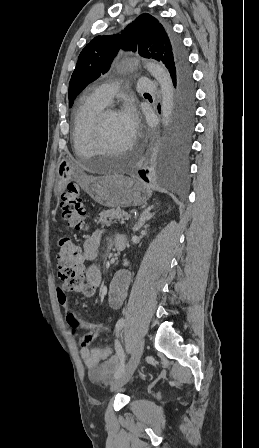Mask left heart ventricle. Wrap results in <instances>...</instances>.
<instances>
[{"label":"left heart ventricle","mask_w":259,"mask_h":448,"mask_svg":"<svg viewBox=\"0 0 259 448\" xmlns=\"http://www.w3.org/2000/svg\"><path fill=\"white\" fill-rule=\"evenodd\" d=\"M105 139L107 144L113 149V152L107 154H117L132 146L133 138L129 131L122 123L119 115H112L106 119L105 122ZM80 156L86 161L90 157H103L107 155L98 149L81 150Z\"/></svg>","instance_id":"1"}]
</instances>
